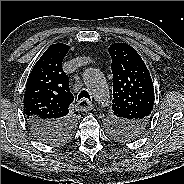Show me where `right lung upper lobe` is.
Returning a JSON list of instances; mask_svg holds the SVG:
<instances>
[{
	"mask_svg": "<svg viewBox=\"0 0 184 184\" xmlns=\"http://www.w3.org/2000/svg\"><path fill=\"white\" fill-rule=\"evenodd\" d=\"M68 50L66 44H53L33 67L24 94V112L28 120L57 122L69 117L74 97L69 89V78L62 70Z\"/></svg>",
	"mask_w": 184,
	"mask_h": 184,
	"instance_id": "obj_1",
	"label": "right lung upper lobe"
}]
</instances>
